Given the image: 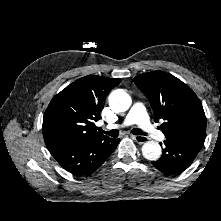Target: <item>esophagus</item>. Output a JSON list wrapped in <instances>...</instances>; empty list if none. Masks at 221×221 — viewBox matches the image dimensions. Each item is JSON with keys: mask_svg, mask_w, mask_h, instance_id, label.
<instances>
[{"mask_svg": "<svg viewBox=\"0 0 221 221\" xmlns=\"http://www.w3.org/2000/svg\"><path fill=\"white\" fill-rule=\"evenodd\" d=\"M132 138L139 144L145 143L148 138L141 135H132Z\"/></svg>", "mask_w": 221, "mask_h": 221, "instance_id": "1", "label": "esophagus"}]
</instances>
